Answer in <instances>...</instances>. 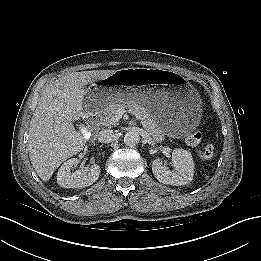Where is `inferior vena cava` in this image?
<instances>
[{"label": "inferior vena cava", "instance_id": "inferior-vena-cava-1", "mask_svg": "<svg viewBox=\"0 0 261 261\" xmlns=\"http://www.w3.org/2000/svg\"><path fill=\"white\" fill-rule=\"evenodd\" d=\"M112 135H113V130L111 129L101 130L98 134V140L101 143H107L111 140Z\"/></svg>", "mask_w": 261, "mask_h": 261}]
</instances>
